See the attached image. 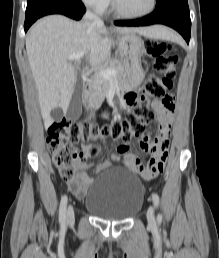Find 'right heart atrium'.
Wrapping results in <instances>:
<instances>
[{
    "label": "right heart atrium",
    "instance_id": "1",
    "mask_svg": "<svg viewBox=\"0 0 219 258\" xmlns=\"http://www.w3.org/2000/svg\"><path fill=\"white\" fill-rule=\"evenodd\" d=\"M87 7L96 12L104 11L110 4V0H81Z\"/></svg>",
    "mask_w": 219,
    "mask_h": 258
}]
</instances>
